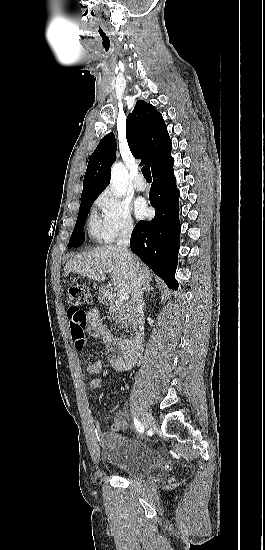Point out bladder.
I'll use <instances>...</instances> for the list:
<instances>
[{
    "instance_id": "31cf9c89",
    "label": "bladder",
    "mask_w": 265,
    "mask_h": 550,
    "mask_svg": "<svg viewBox=\"0 0 265 550\" xmlns=\"http://www.w3.org/2000/svg\"><path fill=\"white\" fill-rule=\"evenodd\" d=\"M101 455L127 477L145 476L156 468L153 451L133 442H121L112 449L105 448Z\"/></svg>"
}]
</instances>
